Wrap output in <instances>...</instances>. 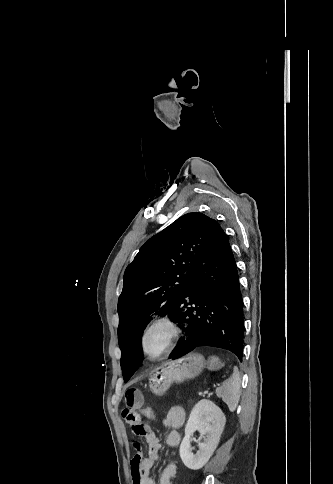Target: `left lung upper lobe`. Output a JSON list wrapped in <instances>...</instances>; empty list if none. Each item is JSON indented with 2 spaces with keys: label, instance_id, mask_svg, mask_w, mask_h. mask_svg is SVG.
Segmentation results:
<instances>
[{
  "label": "left lung upper lobe",
  "instance_id": "obj_1",
  "mask_svg": "<svg viewBox=\"0 0 333 484\" xmlns=\"http://www.w3.org/2000/svg\"><path fill=\"white\" fill-rule=\"evenodd\" d=\"M213 220L199 212L181 216L150 238L127 266L118 300V341L125 382L143 361L141 337L152 315H165L185 291L181 288L185 274Z\"/></svg>",
  "mask_w": 333,
  "mask_h": 484
}]
</instances>
